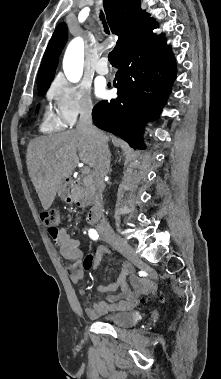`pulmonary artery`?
Masks as SVG:
<instances>
[{
    "label": "pulmonary artery",
    "mask_w": 221,
    "mask_h": 379,
    "mask_svg": "<svg viewBox=\"0 0 221 379\" xmlns=\"http://www.w3.org/2000/svg\"><path fill=\"white\" fill-rule=\"evenodd\" d=\"M95 71L100 75H106L109 73V67L107 65L106 57H102L97 61L95 65Z\"/></svg>",
    "instance_id": "1"
}]
</instances>
